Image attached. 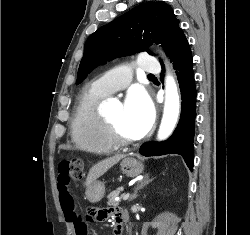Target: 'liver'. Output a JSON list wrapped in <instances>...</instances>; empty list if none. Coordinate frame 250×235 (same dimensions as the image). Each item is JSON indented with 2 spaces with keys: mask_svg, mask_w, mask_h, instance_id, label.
Segmentation results:
<instances>
[{
  "mask_svg": "<svg viewBox=\"0 0 250 235\" xmlns=\"http://www.w3.org/2000/svg\"><path fill=\"white\" fill-rule=\"evenodd\" d=\"M124 157H125L124 155H116V156L107 158L95 164L89 170V173L86 179V186L87 187L90 186L94 181H96V179H98L100 176L106 173L111 167L117 164Z\"/></svg>",
  "mask_w": 250,
  "mask_h": 235,
  "instance_id": "6515ba94",
  "label": "liver"
}]
</instances>
